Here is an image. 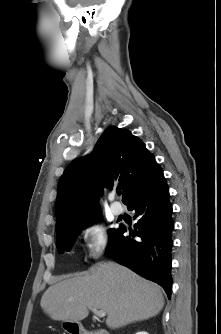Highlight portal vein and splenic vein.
<instances>
[{
	"mask_svg": "<svg viewBox=\"0 0 221 334\" xmlns=\"http://www.w3.org/2000/svg\"><path fill=\"white\" fill-rule=\"evenodd\" d=\"M89 309L99 318H103L106 316V312L104 310H99L95 307H89Z\"/></svg>",
	"mask_w": 221,
	"mask_h": 334,
	"instance_id": "1",
	"label": "portal vein and splenic vein"
}]
</instances>
